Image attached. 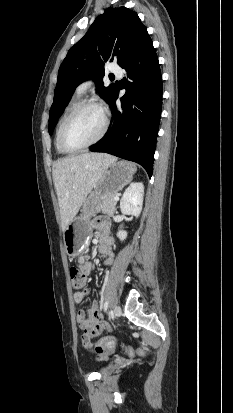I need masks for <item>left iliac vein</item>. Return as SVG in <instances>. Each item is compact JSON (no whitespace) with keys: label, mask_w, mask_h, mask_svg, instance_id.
Segmentation results:
<instances>
[{"label":"left iliac vein","mask_w":233,"mask_h":413,"mask_svg":"<svg viewBox=\"0 0 233 413\" xmlns=\"http://www.w3.org/2000/svg\"><path fill=\"white\" fill-rule=\"evenodd\" d=\"M113 312H114L115 317H119L121 315V307L119 305H116L114 307Z\"/></svg>","instance_id":"1"}]
</instances>
